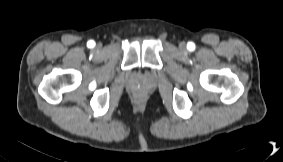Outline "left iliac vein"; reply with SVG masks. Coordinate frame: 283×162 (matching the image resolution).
Masks as SVG:
<instances>
[{"label":"left iliac vein","instance_id":"4c4485c4","mask_svg":"<svg viewBox=\"0 0 283 162\" xmlns=\"http://www.w3.org/2000/svg\"><path fill=\"white\" fill-rule=\"evenodd\" d=\"M179 48H180L181 50H185V49H186V44H185L184 42H181V43L179 44Z\"/></svg>","mask_w":283,"mask_h":162}]
</instances>
